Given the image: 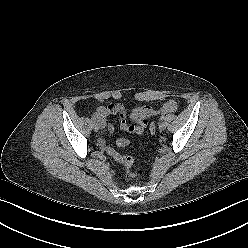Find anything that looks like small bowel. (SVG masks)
<instances>
[{
	"instance_id": "small-bowel-1",
	"label": "small bowel",
	"mask_w": 248,
	"mask_h": 248,
	"mask_svg": "<svg viewBox=\"0 0 248 248\" xmlns=\"http://www.w3.org/2000/svg\"><path fill=\"white\" fill-rule=\"evenodd\" d=\"M176 109V103L174 101H169L165 103L160 109L153 108L151 106H143L135 109L132 112L133 117L137 119L135 124H130L127 122L124 107L120 104H110L108 106H101L97 108L95 112V117L101 128H106L108 132H114V126L109 123L107 124L106 119L111 114L119 113L120 115V127L123 131L128 133L141 134L145 130L148 124V118L152 115H157L159 113H169ZM98 144L100 147L105 146V140L100 137L98 139Z\"/></svg>"
}]
</instances>
